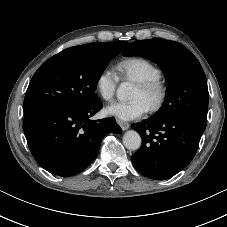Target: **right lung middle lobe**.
Wrapping results in <instances>:
<instances>
[{"label": "right lung middle lobe", "mask_w": 227, "mask_h": 227, "mask_svg": "<svg viewBox=\"0 0 227 227\" xmlns=\"http://www.w3.org/2000/svg\"><path fill=\"white\" fill-rule=\"evenodd\" d=\"M121 42H101L94 49L74 46L45 61L35 72L24 100V114L56 106L81 107L99 100L94 93Z\"/></svg>", "instance_id": "obj_1"}]
</instances>
